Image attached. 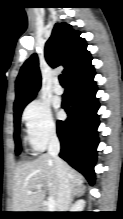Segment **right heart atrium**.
Instances as JSON below:
<instances>
[{"mask_svg": "<svg viewBox=\"0 0 123 219\" xmlns=\"http://www.w3.org/2000/svg\"><path fill=\"white\" fill-rule=\"evenodd\" d=\"M28 142L35 151H42L56 137V123L50 107L39 100L30 102L22 113Z\"/></svg>", "mask_w": 123, "mask_h": 219, "instance_id": "1", "label": "right heart atrium"}]
</instances>
